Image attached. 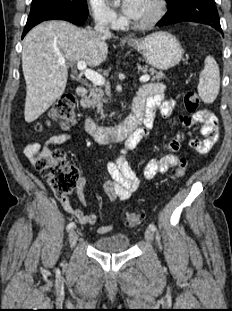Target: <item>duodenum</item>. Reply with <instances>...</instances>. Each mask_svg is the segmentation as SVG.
<instances>
[{
  "label": "duodenum",
  "mask_w": 232,
  "mask_h": 311,
  "mask_svg": "<svg viewBox=\"0 0 232 311\" xmlns=\"http://www.w3.org/2000/svg\"><path fill=\"white\" fill-rule=\"evenodd\" d=\"M76 93L79 97H85L87 88L78 86ZM145 103L138 97L133 100L131 114L120 124L115 126H98L90 117H86L84 129L87 134L99 143L127 140L137 129L144 118Z\"/></svg>",
  "instance_id": "obj_1"
}]
</instances>
